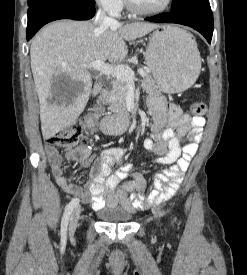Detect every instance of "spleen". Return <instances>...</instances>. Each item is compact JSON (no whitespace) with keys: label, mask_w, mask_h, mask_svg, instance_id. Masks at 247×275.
<instances>
[{"label":"spleen","mask_w":247,"mask_h":275,"mask_svg":"<svg viewBox=\"0 0 247 275\" xmlns=\"http://www.w3.org/2000/svg\"><path fill=\"white\" fill-rule=\"evenodd\" d=\"M192 36L190 35V34H188V38L190 39V40H192V38H191ZM192 42L195 44V46H196V42L195 41H193L192 40Z\"/></svg>","instance_id":"obj_1"}]
</instances>
